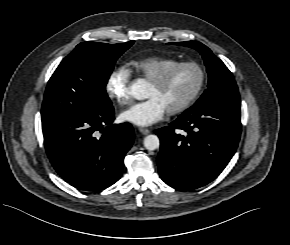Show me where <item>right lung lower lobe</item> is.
<instances>
[{
    "label": "right lung lower lobe",
    "mask_w": 290,
    "mask_h": 245,
    "mask_svg": "<svg viewBox=\"0 0 290 245\" xmlns=\"http://www.w3.org/2000/svg\"><path fill=\"white\" fill-rule=\"evenodd\" d=\"M113 120V107L42 117L48 158L72 186L98 191L120 178L124 156L134 142V131L129 123L111 125Z\"/></svg>",
    "instance_id": "right-lung-lower-lobe-1"
}]
</instances>
